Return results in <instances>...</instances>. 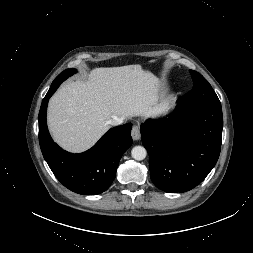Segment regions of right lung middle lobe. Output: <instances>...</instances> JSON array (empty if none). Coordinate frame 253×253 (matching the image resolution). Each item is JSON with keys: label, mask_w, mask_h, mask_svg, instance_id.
Returning <instances> with one entry per match:
<instances>
[{"label": "right lung middle lobe", "mask_w": 253, "mask_h": 253, "mask_svg": "<svg viewBox=\"0 0 253 253\" xmlns=\"http://www.w3.org/2000/svg\"><path fill=\"white\" fill-rule=\"evenodd\" d=\"M77 72L76 69H66L65 71H63L61 74H59L55 80L53 81L52 86L56 85V84H61L64 80H66L68 77H70L71 75L75 74Z\"/></svg>", "instance_id": "dd1d6c3e"}]
</instances>
